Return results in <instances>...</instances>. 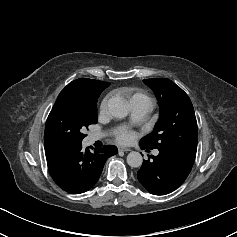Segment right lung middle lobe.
Masks as SVG:
<instances>
[{"label": "right lung middle lobe", "mask_w": 237, "mask_h": 237, "mask_svg": "<svg viewBox=\"0 0 237 237\" xmlns=\"http://www.w3.org/2000/svg\"><path fill=\"white\" fill-rule=\"evenodd\" d=\"M97 99L64 88L52 108L45 125L44 141L62 140L81 143L83 130L97 123Z\"/></svg>", "instance_id": "1"}]
</instances>
